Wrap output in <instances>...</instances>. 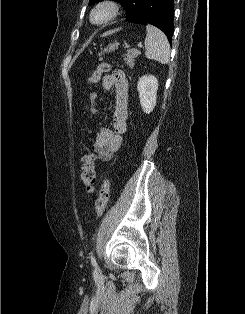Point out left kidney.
Here are the masks:
<instances>
[{
	"mask_svg": "<svg viewBox=\"0 0 245 314\" xmlns=\"http://www.w3.org/2000/svg\"><path fill=\"white\" fill-rule=\"evenodd\" d=\"M137 90L139 93L142 110L146 114L151 113L156 105L157 100V78L153 75H144L140 77L137 83Z\"/></svg>",
	"mask_w": 245,
	"mask_h": 314,
	"instance_id": "obj_1",
	"label": "left kidney"
}]
</instances>
